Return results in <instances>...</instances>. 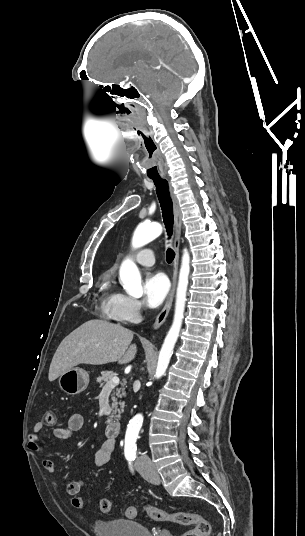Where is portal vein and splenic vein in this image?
<instances>
[{
	"mask_svg": "<svg viewBox=\"0 0 305 536\" xmlns=\"http://www.w3.org/2000/svg\"><path fill=\"white\" fill-rule=\"evenodd\" d=\"M119 382V378H117V376H114V378H111L110 382H107V384H105L103 390H105V388H113V386H116V384H119Z\"/></svg>",
	"mask_w": 305,
	"mask_h": 536,
	"instance_id": "18ae733b",
	"label": "portal vein and splenic vein"
}]
</instances>
